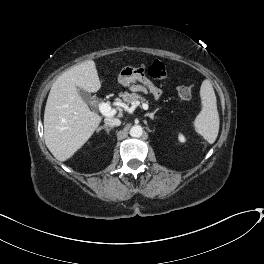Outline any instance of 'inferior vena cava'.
<instances>
[{"mask_svg":"<svg viewBox=\"0 0 264 264\" xmlns=\"http://www.w3.org/2000/svg\"><path fill=\"white\" fill-rule=\"evenodd\" d=\"M104 122L110 127L119 126L121 124V121L118 118H106Z\"/></svg>","mask_w":264,"mask_h":264,"instance_id":"1","label":"inferior vena cava"}]
</instances>
